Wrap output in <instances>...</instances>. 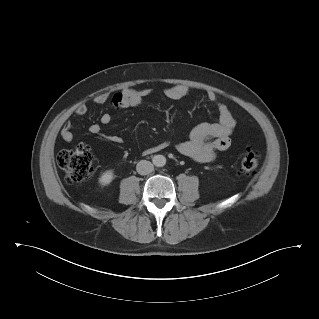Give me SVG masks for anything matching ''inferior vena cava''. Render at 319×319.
<instances>
[{
  "label": "inferior vena cava",
  "instance_id": "obj_1",
  "mask_svg": "<svg viewBox=\"0 0 319 319\" xmlns=\"http://www.w3.org/2000/svg\"><path fill=\"white\" fill-rule=\"evenodd\" d=\"M136 170L140 175H147L154 170V166L150 161L141 160L140 162H138Z\"/></svg>",
  "mask_w": 319,
  "mask_h": 319
}]
</instances>
